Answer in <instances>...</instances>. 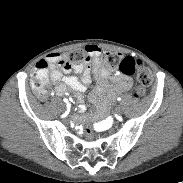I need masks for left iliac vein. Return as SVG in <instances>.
<instances>
[{
	"label": "left iliac vein",
	"mask_w": 183,
	"mask_h": 183,
	"mask_svg": "<svg viewBox=\"0 0 183 183\" xmlns=\"http://www.w3.org/2000/svg\"><path fill=\"white\" fill-rule=\"evenodd\" d=\"M115 111L117 114H121L122 113V107L121 106H116Z\"/></svg>",
	"instance_id": "left-iliac-vein-1"
}]
</instances>
